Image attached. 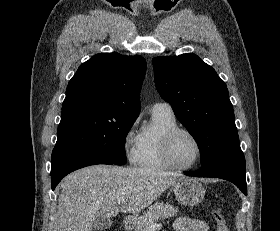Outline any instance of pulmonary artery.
<instances>
[{"label": "pulmonary artery", "mask_w": 280, "mask_h": 231, "mask_svg": "<svg viewBox=\"0 0 280 231\" xmlns=\"http://www.w3.org/2000/svg\"><path fill=\"white\" fill-rule=\"evenodd\" d=\"M152 111L173 114V109L171 105L167 102H157L153 104Z\"/></svg>", "instance_id": "obj_1"}]
</instances>
